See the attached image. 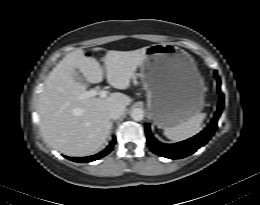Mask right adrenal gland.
<instances>
[{
	"mask_svg": "<svg viewBox=\"0 0 260 205\" xmlns=\"http://www.w3.org/2000/svg\"><path fill=\"white\" fill-rule=\"evenodd\" d=\"M113 122H115V121H112V128H113Z\"/></svg>",
	"mask_w": 260,
	"mask_h": 205,
	"instance_id": "obj_1",
	"label": "right adrenal gland"
}]
</instances>
